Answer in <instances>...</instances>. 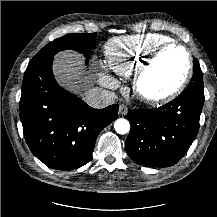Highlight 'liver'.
<instances>
[{
    "label": "liver",
    "instance_id": "1",
    "mask_svg": "<svg viewBox=\"0 0 217 217\" xmlns=\"http://www.w3.org/2000/svg\"><path fill=\"white\" fill-rule=\"evenodd\" d=\"M53 72L58 83L66 89L85 95L89 79L85 76L82 57L74 51H63L55 56Z\"/></svg>",
    "mask_w": 217,
    "mask_h": 217
}]
</instances>
